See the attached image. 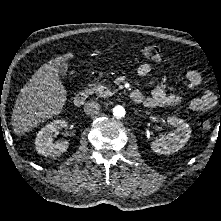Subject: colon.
<instances>
[{
  "label": "colon",
  "mask_w": 221,
  "mask_h": 221,
  "mask_svg": "<svg viewBox=\"0 0 221 221\" xmlns=\"http://www.w3.org/2000/svg\"><path fill=\"white\" fill-rule=\"evenodd\" d=\"M141 54L146 59H149L154 62H163L165 60V54L163 51L157 46H144L140 49ZM211 126L209 121H205L203 123V127L205 129H209Z\"/></svg>",
  "instance_id": "colon-1"
}]
</instances>
